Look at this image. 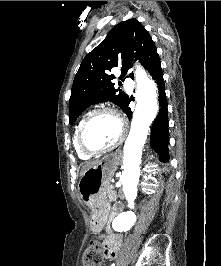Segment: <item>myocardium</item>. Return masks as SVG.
<instances>
[{"mask_svg": "<svg viewBox=\"0 0 221 266\" xmlns=\"http://www.w3.org/2000/svg\"><path fill=\"white\" fill-rule=\"evenodd\" d=\"M103 113H108V114H112L114 115L120 123V127H121V132L119 137L110 145L103 147V148H92L90 147L87 142H86V131L87 128L89 126V124L91 123V121L99 114H103ZM127 123L125 122V120L121 117V115L119 113H117L114 109L111 108H106V107H102V108H98L92 112H90L84 119V121L82 122L79 132H78V145L81 149L82 152H84L85 154H88L90 156H94V155H100L103 153H106L114 148H116L118 145H120L126 135H127Z\"/></svg>", "mask_w": 221, "mask_h": 266, "instance_id": "myocardium-1", "label": "myocardium"}]
</instances>
